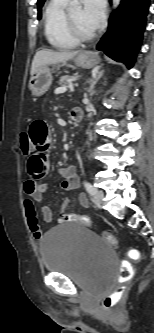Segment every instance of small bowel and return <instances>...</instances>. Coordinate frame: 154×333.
<instances>
[{
    "label": "small bowel",
    "instance_id": "obj_1",
    "mask_svg": "<svg viewBox=\"0 0 154 333\" xmlns=\"http://www.w3.org/2000/svg\"><path fill=\"white\" fill-rule=\"evenodd\" d=\"M28 135L30 138L32 153L27 162L29 179L25 181L23 190L30 198L25 202V213L29 228L36 240L42 238L39 220L33 206V202L40 204V212L43 221L52 220V211L50 207L43 202L44 194L47 190V184L41 182L49 171L48 151L52 143V134L48 124L43 120H35L29 127ZM59 177L63 179L62 188L66 191H72L79 187L77 175L73 166L60 167L57 171ZM80 205L87 208L88 198L81 193L78 196ZM70 200L66 199L62 205V212L69 207Z\"/></svg>",
    "mask_w": 154,
    "mask_h": 333
}]
</instances>
